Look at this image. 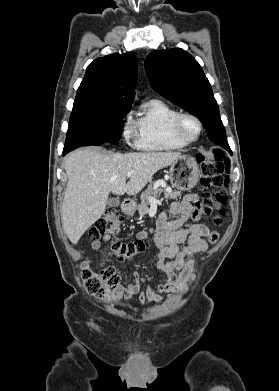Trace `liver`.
I'll return each mask as SVG.
<instances>
[{
    "instance_id": "obj_1",
    "label": "liver",
    "mask_w": 279,
    "mask_h": 391,
    "mask_svg": "<svg viewBox=\"0 0 279 391\" xmlns=\"http://www.w3.org/2000/svg\"><path fill=\"white\" fill-rule=\"evenodd\" d=\"M181 157L179 152L128 154L81 149L65 160L68 183L61 208L62 225L71 243L105 212L110 192L135 195L157 171ZM132 176L126 183L127 173Z\"/></svg>"
}]
</instances>
